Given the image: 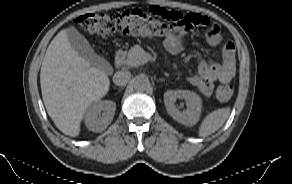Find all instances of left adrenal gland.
I'll return each instance as SVG.
<instances>
[{
  "label": "left adrenal gland",
  "instance_id": "obj_1",
  "mask_svg": "<svg viewBox=\"0 0 292 184\" xmlns=\"http://www.w3.org/2000/svg\"><path fill=\"white\" fill-rule=\"evenodd\" d=\"M158 81H165V79H159V80H157V82H158Z\"/></svg>",
  "mask_w": 292,
  "mask_h": 184
}]
</instances>
